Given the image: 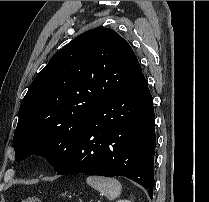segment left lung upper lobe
Returning a JSON list of instances; mask_svg holds the SVG:
<instances>
[{
  "mask_svg": "<svg viewBox=\"0 0 209 202\" xmlns=\"http://www.w3.org/2000/svg\"><path fill=\"white\" fill-rule=\"evenodd\" d=\"M142 74L130 45L114 30L86 31L56 52L19 109L15 159L36 154L59 170L83 133L87 115Z\"/></svg>",
  "mask_w": 209,
  "mask_h": 202,
  "instance_id": "obj_1",
  "label": "left lung upper lobe"
}]
</instances>
